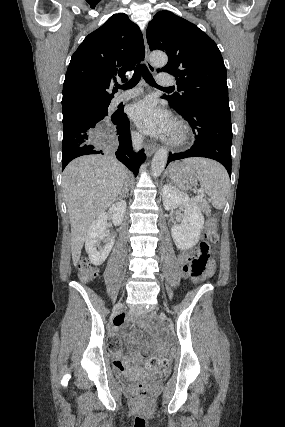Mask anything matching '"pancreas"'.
<instances>
[{"label": "pancreas", "instance_id": "obj_1", "mask_svg": "<svg viewBox=\"0 0 285 427\" xmlns=\"http://www.w3.org/2000/svg\"><path fill=\"white\" fill-rule=\"evenodd\" d=\"M194 203L197 205L198 208H200L203 212L206 214H210V207L207 204L206 200L203 198H199L198 200H195Z\"/></svg>", "mask_w": 285, "mask_h": 427}]
</instances>
